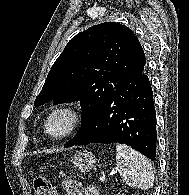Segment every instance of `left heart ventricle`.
Returning <instances> with one entry per match:
<instances>
[{"label": "left heart ventricle", "mask_w": 189, "mask_h": 195, "mask_svg": "<svg viewBox=\"0 0 189 195\" xmlns=\"http://www.w3.org/2000/svg\"><path fill=\"white\" fill-rule=\"evenodd\" d=\"M70 123L71 115L67 112H60L53 116L49 121V132L54 136H59L69 128Z\"/></svg>", "instance_id": "b2bd125f"}]
</instances>
